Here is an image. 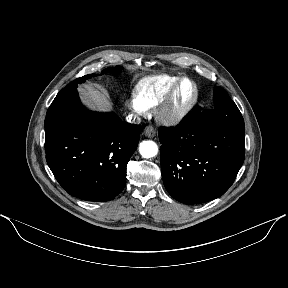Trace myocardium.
<instances>
[{"label": "myocardium", "mask_w": 288, "mask_h": 288, "mask_svg": "<svg viewBox=\"0 0 288 288\" xmlns=\"http://www.w3.org/2000/svg\"><path fill=\"white\" fill-rule=\"evenodd\" d=\"M185 83L191 86V95L186 101L178 103L177 98L179 91ZM198 99L199 89L197 84L190 78H181L174 84L162 101L158 111L159 117L168 125H178L190 116L197 105Z\"/></svg>", "instance_id": "obj_1"}]
</instances>
